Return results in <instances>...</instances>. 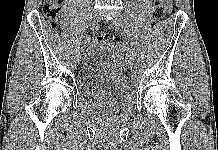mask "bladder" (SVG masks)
<instances>
[{"mask_svg":"<svg viewBox=\"0 0 218 150\" xmlns=\"http://www.w3.org/2000/svg\"><path fill=\"white\" fill-rule=\"evenodd\" d=\"M120 77L111 49L103 46H92L89 49L78 76L82 90L92 96L107 95L111 88L122 94V89L116 85Z\"/></svg>","mask_w":218,"mask_h":150,"instance_id":"bladder-1","label":"bladder"}]
</instances>
